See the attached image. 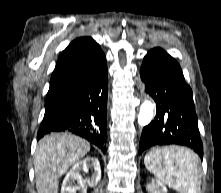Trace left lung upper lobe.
I'll list each match as a JSON object with an SVG mask.
<instances>
[{
	"mask_svg": "<svg viewBox=\"0 0 221 193\" xmlns=\"http://www.w3.org/2000/svg\"><path fill=\"white\" fill-rule=\"evenodd\" d=\"M165 118L170 126H175V122L177 119L173 111L170 110L169 112L165 113Z\"/></svg>",
	"mask_w": 221,
	"mask_h": 193,
	"instance_id": "5c2ea615",
	"label": "left lung upper lobe"
}]
</instances>
